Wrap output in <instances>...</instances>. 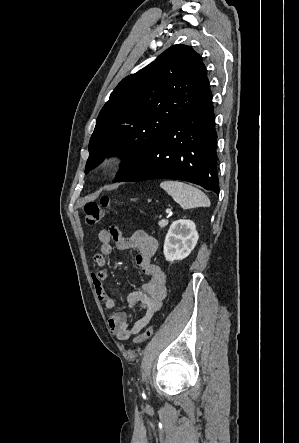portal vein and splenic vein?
I'll return each mask as SVG.
<instances>
[{"label":"portal vein and splenic vein","instance_id":"1","mask_svg":"<svg viewBox=\"0 0 299 443\" xmlns=\"http://www.w3.org/2000/svg\"><path fill=\"white\" fill-rule=\"evenodd\" d=\"M171 212V209H166V213H170Z\"/></svg>","mask_w":299,"mask_h":443}]
</instances>
